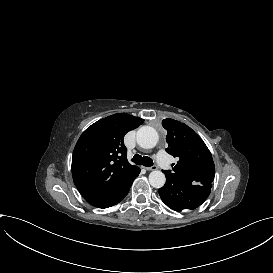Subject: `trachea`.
<instances>
[{
	"instance_id": "3493384b",
	"label": "trachea",
	"mask_w": 273,
	"mask_h": 273,
	"mask_svg": "<svg viewBox=\"0 0 273 273\" xmlns=\"http://www.w3.org/2000/svg\"><path fill=\"white\" fill-rule=\"evenodd\" d=\"M132 161L137 165H143L146 167L153 166V160L148 156H141L139 154H135L132 158Z\"/></svg>"
}]
</instances>
